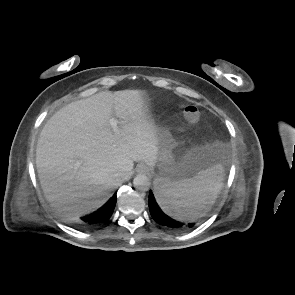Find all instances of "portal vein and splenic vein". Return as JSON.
<instances>
[{
  "label": "portal vein and splenic vein",
  "instance_id": "obj_1",
  "mask_svg": "<svg viewBox=\"0 0 295 295\" xmlns=\"http://www.w3.org/2000/svg\"><path fill=\"white\" fill-rule=\"evenodd\" d=\"M109 124H110L113 132L115 134H118L119 133V127H118L119 121L117 119H115V118H111L109 120Z\"/></svg>",
  "mask_w": 295,
  "mask_h": 295
}]
</instances>
